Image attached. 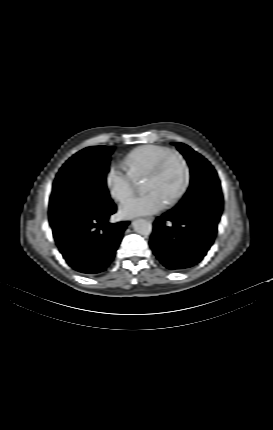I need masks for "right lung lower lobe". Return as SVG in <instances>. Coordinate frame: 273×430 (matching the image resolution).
Here are the masks:
<instances>
[{
    "instance_id": "98d812e1",
    "label": "right lung lower lobe",
    "mask_w": 273,
    "mask_h": 430,
    "mask_svg": "<svg viewBox=\"0 0 273 430\" xmlns=\"http://www.w3.org/2000/svg\"><path fill=\"white\" fill-rule=\"evenodd\" d=\"M116 206L52 227L55 242L66 262L84 276L107 270L115 257L128 222H108Z\"/></svg>"
}]
</instances>
